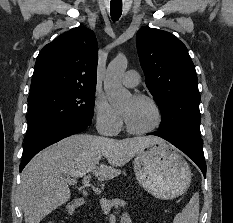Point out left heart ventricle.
<instances>
[{
	"instance_id": "obj_1",
	"label": "left heart ventricle",
	"mask_w": 233,
	"mask_h": 223,
	"mask_svg": "<svg viewBox=\"0 0 233 223\" xmlns=\"http://www.w3.org/2000/svg\"><path fill=\"white\" fill-rule=\"evenodd\" d=\"M128 125L136 131H146L155 126L156 112L153 106L141 99L130 97L119 109Z\"/></svg>"
}]
</instances>
